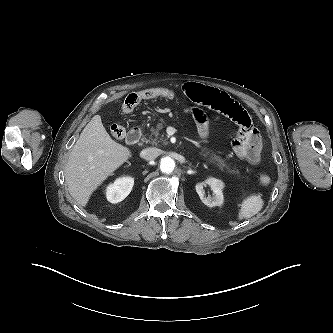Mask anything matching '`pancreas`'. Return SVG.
<instances>
[{
	"label": "pancreas",
	"mask_w": 333,
	"mask_h": 333,
	"mask_svg": "<svg viewBox=\"0 0 333 333\" xmlns=\"http://www.w3.org/2000/svg\"><path fill=\"white\" fill-rule=\"evenodd\" d=\"M163 121L157 124L156 128H151V134L149 138L146 136L143 138V141L146 143H151L157 145L161 139H163L164 135H160L159 131L164 127ZM203 156L207 157L210 163H213L219 167V169L223 170L224 168L228 169L229 172H234V170H230V167L226 164V160L222 159L220 156L216 155L213 151L204 149L202 151Z\"/></svg>",
	"instance_id": "cf45deb5"
}]
</instances>
